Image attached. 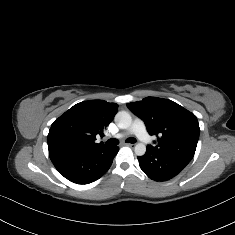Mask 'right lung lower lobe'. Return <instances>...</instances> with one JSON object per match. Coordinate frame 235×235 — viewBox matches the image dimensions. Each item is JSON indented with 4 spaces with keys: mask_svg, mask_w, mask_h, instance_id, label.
<instances>
[{
    "mask_svg": "<svg viewBox=\"0 0 235 235\" xmlns=\"http://www.w3.org/2000/svg\"><path fill=\"white\" fill-rule=\"evenodd\" d=\"M119 147L96 150L49 149V156L58 172L77 184H89L103 176L110 168Z\"/></svg>",
    "mask_w": 235,
    "mask_h": 235,
    "instance_id": "obj_1",
    "label": "right lung lower lobe"
}]
</instances>
